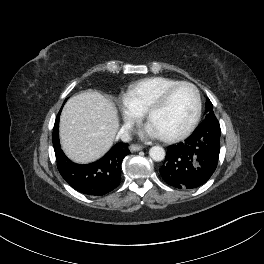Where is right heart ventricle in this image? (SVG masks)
I'll return each instance as SVG.
<instances>
[{
  "label": "right heart ventricle",
  "instance_id": "1",
  "mask_svg": "<svg viewBox=\"0 0 264 264\" xmlns=\"http://www.w3.org/2000/svg\"><path fill=\"white\" fill-rule=\"evenodd\" d=\"M178 81L164 76L144 78L130 85L124 100L130 106L144 113L167 87Z\"/></svg>",
  "mask_w": 264,
  "mask_h": 264
}]
</instances>
